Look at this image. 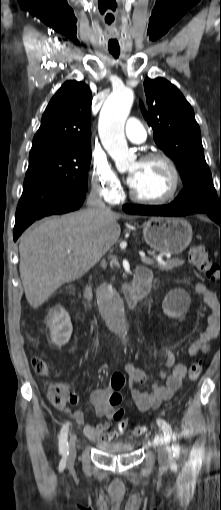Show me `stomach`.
<instances>
[{
	"label": "stomach",
	"instance_id": "0dacf381",
	"mask_svg": "<svg viewBox=\"0 0 221 510\" xmlns=\"http://www.w3.org/2000/svg\"><path fill=\"white\" fill-rule=\"evenodd\" d=\"M192 227L182 218L153 217L143 227L145 242L155 251L180 254L192 240Z\"/></svg>",
	"mask_w": 221,
	"mask_h": 510
}]
</instances>
